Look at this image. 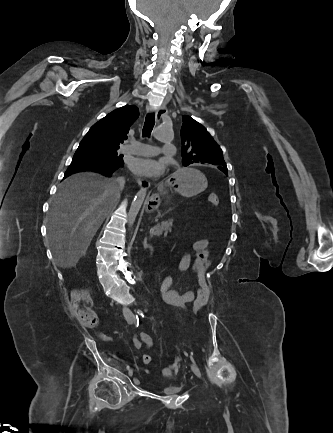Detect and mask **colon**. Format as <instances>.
<instances>
[{"label":"colon","instance_id":"obj_1","mask_svg":"<svg viewBox=\"0 0 333 433\" xmlns=\"http://www.w3.org/2000/svg\"><path fill=\"white\" fill-rule=\"evenodd\" d=\"M208 200L213 206H218L219 204L218 196L215 193H211ZM161 279L163 280L160 282L161 285L159 286V289L161 292L160 297L163 299V302L166 305L171 304L172 308H179V311L188 314V303L185 300L177 299L176 301V299H174V297H177V294L172 293L170 287L173 284L172 275L166 274L165 280L164 276H161ZM71 306L75 317L82 325L86 327H94L97 325V317L92 310V300L86 289H77L72 292ZM183 318H186V315H183ZM187 321H190V315H187ZM142 362L145 365H150L152 363V357L145 354L142 358Z\"/></svg>","mask_w":333,"mask_h":433}]
</instances>
